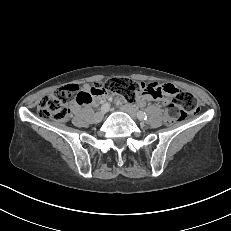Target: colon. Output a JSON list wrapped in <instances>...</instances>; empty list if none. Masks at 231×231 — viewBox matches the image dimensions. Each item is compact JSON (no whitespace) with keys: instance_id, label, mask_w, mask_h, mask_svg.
I'll list each match as a JSON object with an SVG mask.
<instances>
[{"instance_id":"obj_1","label":"colon","mask_w":231,"mask_h":231,"mask_svg":"<svg viewBox=\"0 0 231 231\" xmlns=\"http://www.w3.org/2000/svg\"><path fill=\"white\" fill-rule=\"evenodd\" d=\"M148 85L130 80L128 78L113 77L103 84L93 87L91 95L110 91L122 95L126 100H135ZM156 84L151 85L155 87ZM90 95L81 91L78 85L69 84L56 90L54 93L42 98L37 105V115L42 119H51L57 122H66L70 118V105L72 102L84 103ZM199 106L196 98L181 90L174 92V99L165 107V119L168 124L183 120L188 114H194Z\"/></svg>"}]
</instances>
